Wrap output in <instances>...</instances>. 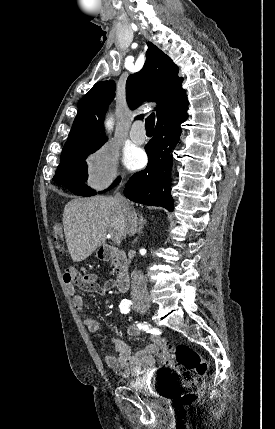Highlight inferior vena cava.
Here are the masks:
<instances>
[{"label":"inferior vena cava","mask_w":275,"mask_h":429,"mask_svg":"<svg viewBox=\"0 0 275 429\" xmlns=\"http://www.w3.org/2000/svg\"><path fill=\"white\" fill-rule=\"evenodd\" d=\"M115 199L119 203V207L125 217L126 233L129 236H133L137 231V214L134 208L131 206L130 202L119 192L115 194ZM131 295L132 300L135 304L143 303L149 305L150 303L145 278L140 270H135L133 272Z\"/></svg>","instance_id":"obj_1"}]
</instances>
